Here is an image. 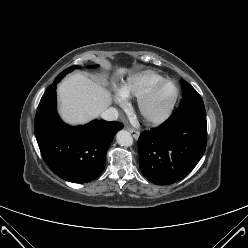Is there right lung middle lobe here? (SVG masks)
I'll return each mask as SVG.
<instances>
[{
    "mask_svg": "<svg viewBox=\"0 0 248 248\" xmlns=\"http://www.w3.org/2000/svg\"><path fill=\"white\" fill-rule=\"evenodd\" d=\"M90 67V66H88ZM93 68L94 67H98V65L96 66H92ZM78 68V66H72V67H69L67 69H65L63 72H61L54 80V82L47 88V90L45 91L44 95L42 96L41 99L43 98H46L47 96H49L50 94H52L55 89H56V85L57 83L66 75L68 74L69 72H71L73 69H76Z\"/></svg>",
    "mask_w": 248,
    "mask_h": 248,
    "instance_id": "dd1d6c3e",
    "label": "right lung middle lobe"
}]
</instances>
